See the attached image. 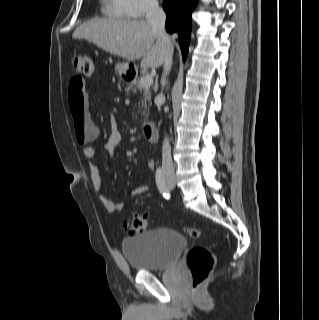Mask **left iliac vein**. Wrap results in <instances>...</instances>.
<instances>
[{"label": "left iliac vein", "mask_w": 319, "mask_h": 320, "mask_svg": "<svg viewBox=\"0 0 319 320\" xmlns=\"http://www.w3.org/2000/svg\"><path fill=\"white\" fill-rule=\"evenodd\" d=\"M170 188H174V184H168Z\"/></svg>", "instance_id": "1"}]
</instances>
